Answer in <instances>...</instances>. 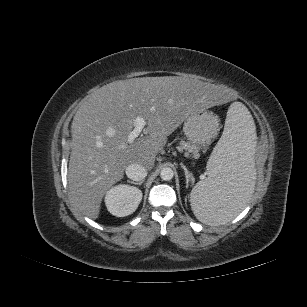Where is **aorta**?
Instances as JSON below:
<instances>
[{"mask_svg":"<svg viewBox=\"0 0 307 307\" xmlns=\"http://www.w3.org/2000/svg\"><path fill=\"white\" fill-rule=\"evenodd\" d=\"M174 172L170 167H164L160 172V177L164 181H169L173 178Z\"/></svg>","mask_w":307,"mask_h":307,"instance_id":"obj_1","label":"aorta"}]
</instances>
